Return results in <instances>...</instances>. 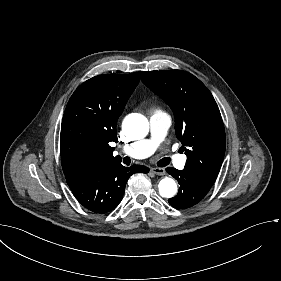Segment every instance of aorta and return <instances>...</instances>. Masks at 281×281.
Listing matches in <instances>:
<instances>
[{
  "label": "aorta",
  "instance_id": "obj_1",
  "mask_svg": "<svg viewBox=\"0 0 281 281\" xmlns=\"http://www.w3.org/2000/svg\"><path fill=\"white\" fill-rule=\"evenodd\" d=\"M123 129L131 138L138 140L148 134L149 123L145 116L134 113L125 118ZM158 189L162 197L172 198L177 193V184L172 178L165 177L159 182Z\"/></svg>",
  "mask_w": 281,
  "mask_h": 281
}]
</instances>
